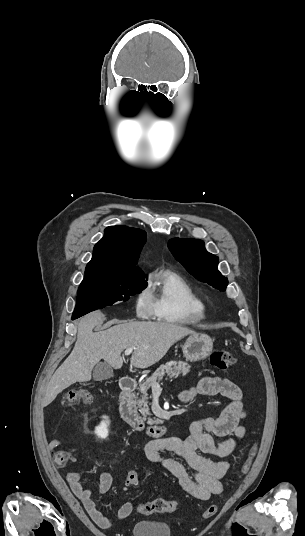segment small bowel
<instances>
[{"instance_id":"c3829d8e","label":"small bowel","mask_w":305,"mask_h":536,"mask_svg":"<svg viewBox=\"0 0 305 536\" xmlns=\"http://www.w3.org/2000/svg\"><path fill=\"white\" fill-rule=\"evenodd\" d=\"M197 395H221L226 397L229 403L218 417H204L193 421L189 426L187 438L166 436L150 440L144 446V454L150 462L159 464L170 472L186 493L196 499L206 501L212 495H219L224 491V478L229 469V463L224 458L235 449L237 440L245 434L242 425L245 411L241 403V390L229 379L218 376L204 377L196 386L182 391L179 398L182 402H190ZM226 436L229 437L224 440L219 439ZM162 452L174 453L182 461L163 458ZM200 453L216 456L221 460L216 461ZM66 481L88 515L100 528L113 527V519L97 508L79 472L68 470ZM112 484L111 473L104 471L95 483V487L98 492L107 493ZM123 491H127L125 484ZM133 510L134 504L126 501L118 510V519L127 518Z\"/></svg>"}]
</instances>
